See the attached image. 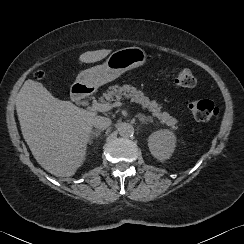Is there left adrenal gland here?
<instances>
[{
  "mask_svg": "<svg viewBox=\"0 0 244 244\" xmlns=\"http://www.w3.org/2000/svg\"><path fill=\"white\" fill-rule=\"evenodd\" d=\"M137 117H138L139 121L141 122V124H147V122H151V123L153 122V120L150 117H147L140 113L137 115Z\"/></svg>",
  "mask_w": 244,
  "mask_h": 244,
  "instance_id": "left-adrenal-gland-1",
  "label": "left adrenal gland"
}]
</instances>
